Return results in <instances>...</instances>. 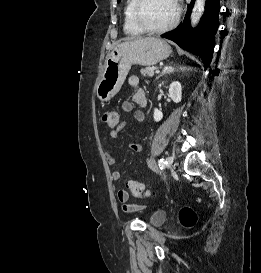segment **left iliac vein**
I'll return each instance as SVG.
<instances>
[{
	"instance_id": "left-iliac-vein-1",
	"label": "left iliac vein",
	"mask_w": 261,
	"mask_h": 273,
	"mask_svg": "<svg viewBox=\"0 0 261 273\" xmlns=\"http://www.w3.org/2000/svg\"><path fill=\"white\" fill-rule=\"evenodd\" d=\"M166 162H167V166L168 167H171V165H172V163H173V158L172 157H170V156H168V157H166Z\"/></svg>"
}]
</instances>
